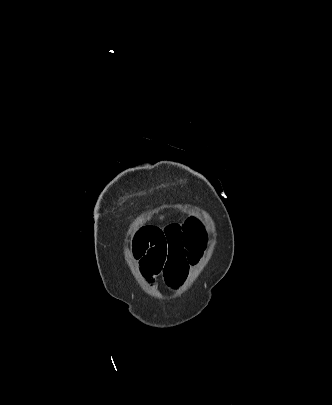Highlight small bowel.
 Returning a JSON list of instances; mask_svg holds the SVG:
<instances>
[{
    "instance_id": "c3829d8e",
    "label": "small bowel",
    "mask_w": 332,
    "mask_h": 405,
    "mask_svg": "<svg viewBox=\"0 0 332 405\" xmlns=\"http://www.w3.org/2000/svg\"><path fill=\"white\" fill-rule=\"evenodd\" d=\"M186 251L184 231L178 223L146 225L137 231L131 244L140 273L153 283L160 276L170 288L183 284L193 264Z\"/></svg>"
}]
</instances>
